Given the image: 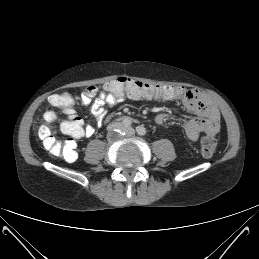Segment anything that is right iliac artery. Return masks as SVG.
<instances>
[{
  "label": "right iliac artery",
  "instance_id": "1",
  "mask_svg": "<svg viewBox=\"0 0 259 259\" xmlns=\"http://www.w3.org/2000/svg\"><path fill=\"white\" fill-rule=\"evenodd\" d=\"M122 123H123V125H124L125 127L131 126V120L128 119V118L124 119V120L122 121Z\"/></svg>",
  "mask_w": 259,
  "mask_h": 259
}]
</instances>
